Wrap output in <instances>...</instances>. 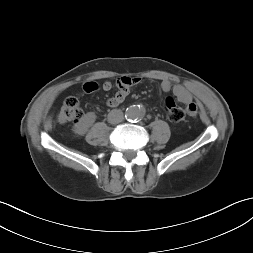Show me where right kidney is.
<instances>
[{"mask_svg": "<svg viewBox=\"0 0 253 253\" xmlns=\"http://www.w3.org/2000/svg\"><path fill=\"white\" fill-rule=\"evenodd\" d=\"M96 115L93 112H88L85 114L80 122L75 125L74 132L78 135H84L87 133L89 127L95 122Z\"/></svg>", "mask_w": 253, "mask_h": 253, "instance_id": "1", "label": "right kidney"}]
</instances>
